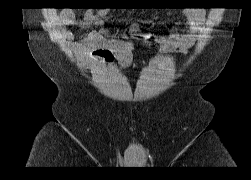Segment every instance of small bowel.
<instances>
[{
  "instance_id": "obj_1",
  "label": "small bowel",
  "mask_w": 251,
  "mask_h": 180,
  "mask_svg": "<svg viewBox=\"0 0 251 180\" xmlns=\"http://www.w3.org/2000/svg\"><path fill=\"white\" fill-rule=\"evenodd\" d=\"M106 10L88 11L84 15L85 25H101ZM183 25L186 30L183 33L172 32L166 35L147 33L145 38L154 40L160 45L164 52L187 53L194 46L198 34L205 23V12L200 9L186 10L183 12ZM76 16L73 10L64 9L59 14L58 22L62 26L74 24ZM62 35L67 40H73L71 31L64 30ZM76 48L90 50L104 62L109 63L116 58L121 64L127 65L131 59L133 44L128 39H110L106 29L93 30L88 33L85 39L75 44Z\"/></svg>"
}]
</instances>
